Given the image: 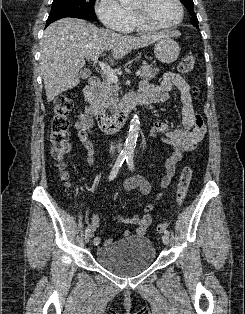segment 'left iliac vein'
Masks as SVG:
<instances>
[{
  "instance_id": "left-iliac-vein-1",
  "label": "left iliac vein",
  "mask_w": 245,
  "mask_h": 314,
  "mask_svg": "<svg viewBox=\"0 0 245 314\" xmlns=\"http://www.w3.org/2000/svg\"><path fill=\"white\" fill-rule=\"evenodd\" d=\"M162 241H163V243L165 244V245H168L169 244V236H167V235H163L162 236Z\"/></svg>"
}]
</instances>
